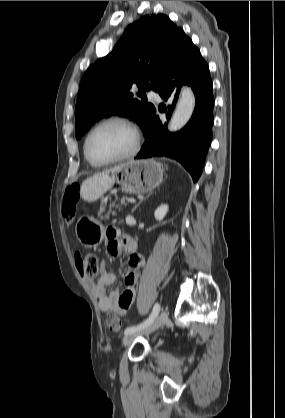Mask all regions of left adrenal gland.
I'll use <instances>...</instances> for the list:
<instances>
[{"mask_svg":"<svg viewBox=\"0 0 285 418\" xmlns=\"http://www.w3.org/2000/svg\"><path fill=\"white\" fill-rule=\"evenodd\" d=\"M148 197H149V195H147L145 198H141L140 201L134 206V208L132 209V211H134Z\"/></svg>","mask_w":285,"mask_h":418,"instance_id":"1","label":"left adrenal gland"}]
</instances>
